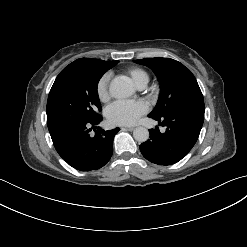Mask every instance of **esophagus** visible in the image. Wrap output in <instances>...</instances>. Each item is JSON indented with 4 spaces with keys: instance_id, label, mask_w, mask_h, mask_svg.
<instances>
[{
    "instance_id": "esophagus-1",
    "label": "esophagus",
    "mask_w": 247,
    "mask_h": 247,
    "mask_svg": "<svg viewBox=\"0 0 247 247\" xmlns=\"http://www.w3.org/2000/svg\"><path fill=\"white\" fill-rule=\"evenodd\" d=\"M123 130H128V131H133L135 129V127H122Z\"/></svg>"
}]
</instances>
